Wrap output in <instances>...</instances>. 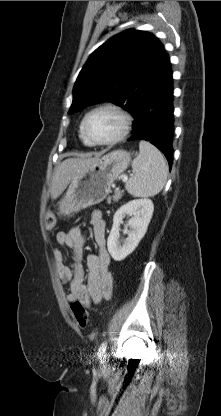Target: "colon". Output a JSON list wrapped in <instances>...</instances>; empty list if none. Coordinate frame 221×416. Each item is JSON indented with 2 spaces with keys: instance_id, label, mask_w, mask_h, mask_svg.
Masks as SVG:
<instances>
[{
  "instance_id": "obj_1",
  "label": "colon",
  "mask_w": 221,
  "mask_h": 416,
  "mask_svg": "<svg viewBox=\"0 0 221 416\" xmlns=\"http://www.w3.org/2000/svg\"><path fill=\"white\" fill-rule=\"evenodd\" d=\"M57 224V218L54 214H49L46 217V226L49 230H52ZM71 311L75 317L76 322L81 328H85L88 325L89 317L83 304L77 300L72 301L70 304Z\"/></svg>"
}]
</instances>
